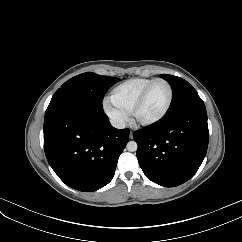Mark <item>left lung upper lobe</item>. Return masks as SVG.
I'll return each mask as SVG.
<instances>
[{
  "mask_svg": "<svg viewBox=\"0 0 242 242\" xmlns=\"http://www.w3.org/2000/svg\"><path fill=\"white\" fill-rule=\"evenodd\" d=\"M161 77L169 82L173 91L172 102L166 114L188 105L203 103L196 90L184 79L168 74H162Z\"/></svg>",
  "mask_w": 242,
  "mask_h": 242,
  "instance_id": "5c2ea615",
  "label": "left lung upper lobe"
}]
</instances>
